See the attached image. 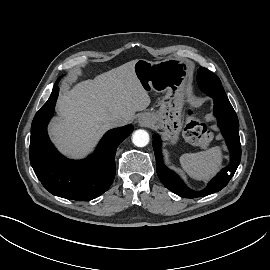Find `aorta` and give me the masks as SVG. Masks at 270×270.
<instances>
[{"label": "aorta", "mask_w": 270, "mask_h": 270, "mask_svg": "<svg viewBox=\"0 0 270 270\" xmlns=\"http://www.w3.org/2000/svg\"><path fill=\"white\" fill-rule=\"evenodd\" d=\"M132 142L137 147H144L149 143V134L147 131L139 129L132 135Z\"/></svg>", "instance_id": "762f6f07"}]
</instances>
